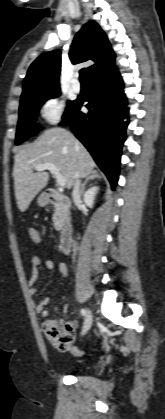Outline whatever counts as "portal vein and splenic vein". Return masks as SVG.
I'll return each instance as SVG.
<instances>
[{
	"label": "portal vein and splenic vein",
	"mask_w": 165,
	"mask_h": 419,
	"mask_svg": "<svg viewBox=\"0 0 165 419\" xmlns=\"http://www.w3.org/2000/svg\"><path fill=\"white\" fill-rule=\"evenodd\" d=\"M36 171L50 170L54 175L56 182L59 186L63 187L66 185V179L61 175L58 168L51 163H43L35 166Z\"/></svg>",
	"instance_id": "obj_1"
}]
</instances>
